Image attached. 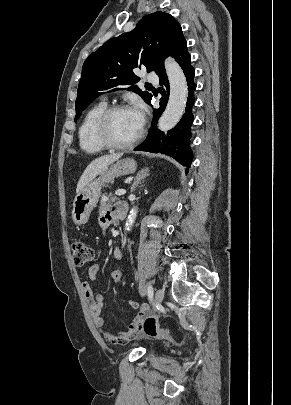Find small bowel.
I'll use <instances>...</instances> for the list:
<instances>
[{
	"instance_id": "c3829d8e",
	"label": "small bowel",
	"mask_w": 291,
	"mask_h": 405,
	"mask_svg": "<svg viewBox=\"0 0 291 405\" xmlns=\"http://www.w3.org/2000/svg\"><path fill=\"white\" fill-rule=\"evenodd\" d=\"M116 217H118L117 207L111 210L104 211L99 219L100 226L103 229H106L111 225V223L116 219ZM121 255H122L121 251L117 249L115 251V257L119 259L121 258ZM100 267L101 265L99 262H94L85 269V272L91 280H96L97 273L100 270ZM83 290L85 297L89 303L90 314L92 316V319L94 323L100 328L102 335L107 341L114 344H122L131 340L138 334L141 328L143 316L148 311L147 306L145 305L139 306L136 302L130 301V305L133 308L138 309L136 317L134 318L133 322L129 325L127 330L122 331L120 333H112L105 328V323L102 318V311L104 306L102 295L94 294L91 286L87 282L83 283Z\"/></svg>"
}]
</instances>
